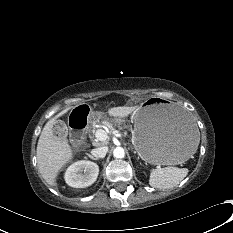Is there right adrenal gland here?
<instances>
[{
	"instance_id": "right-adrenal-gland-1",
	"label": "right adrenal gland",
	"mask_w": 233,
	"mask_h": 233,
	"mask_svg": "<svg viewBox=\"0 0 233 233\" xmlns=\"http://www.w3.org/2000/svg\"><path fill=\"white\" fill-rule=\"evenodd\" d=\"M89 156V158H91L92 160H95V161H97L98 160V158H95V157H93L92 155H88Z\"/></svg>"
}]
</instances>
